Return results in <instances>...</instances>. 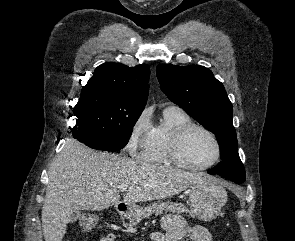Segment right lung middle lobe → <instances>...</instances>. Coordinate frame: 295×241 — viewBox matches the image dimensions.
Returning a JSON list of instances; mask_svg holds the SVG:
<instances>
[{"label": "right lung middle lobe", "mask_w": 295, "mask_h": 241, "mask_svg": "<svg viewBox=\"0 0 295 241\" xmlns=\"http://www.w3.org/2000/svg\"><path fill=\"white\" fill-rule=\"evenodd\" d=\"M143 109L104 92H89L74 107L73 137L93 149L120 150L128 143Z\"/></svg>", "instance_id": "dd1d6c3e"}]
</instances>
